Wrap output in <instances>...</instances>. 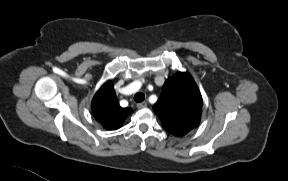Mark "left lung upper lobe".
<instances>
[{"label": "left lung upper lobe", "instance_id": "5c2ea615", "mask_svg": "<svg viewBox=\"0 0 288 181\" xmlns=\"http://www.w3.org/2000/svg\"><path fill=\"white\" fill-rule=\"evenodd\" d=\"M153 109L163 128L175 136H183L197 127L202 96L191 75L178 72L167 79Z\"/></svg>", "mask_w": 288, "mask_h": 181}]
</instances>
